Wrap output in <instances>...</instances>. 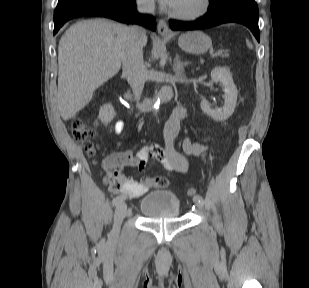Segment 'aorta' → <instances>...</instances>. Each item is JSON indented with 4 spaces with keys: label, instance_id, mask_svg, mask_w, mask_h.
Masks as SVG:
<instances>
[{
    "label": "aorta",
    "instance_id": "aorta-1",
    "mask_svg": "<svg viewBox=\"0 0 309 288\" xmlns=\"http://www.w3.org/2000/svg\"><path fill=\"white\" fill-rule=\"evenodd\" d=\"M159 105H160L159 95L156 94L155 95V103H154V108H155L154 115L155 116H157Z\"/></svg>",
    "mask_w": 309,
    "mask_h": 288
}]
</instances>
